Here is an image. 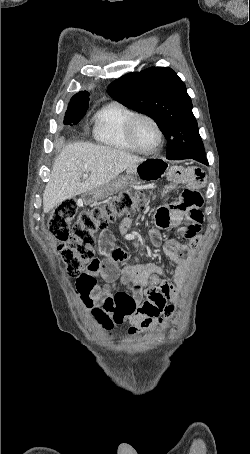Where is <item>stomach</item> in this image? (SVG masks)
<instances>
[{
	"label": "stomach",
	"mask_w": 250,
	"mask_h": 454,
	"mask_svg": "<svg viewBox=\"0 0 250 454\" xmlns=\"http://www.w3.org/2000/svg\"><path fill=\"white\" fill-rule=\"evenodd\" d=\"M166 166L167 164L160 159H145L143 162L129 167L127 174L129 179H136L138 183L151 182L162 177ZM118 187L115 182H109L100 188L85 193L84 198L87 202L103 200L113 194Z\"/></svg>",
	"instance_id": "stomach-1"
}]
</instances>
